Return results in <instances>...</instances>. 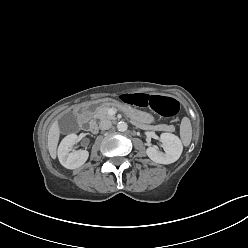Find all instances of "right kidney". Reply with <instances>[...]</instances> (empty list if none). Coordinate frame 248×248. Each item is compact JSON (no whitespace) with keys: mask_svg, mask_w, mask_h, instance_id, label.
<instances>
[{"mask_svg":"<svg viewBox=\"0 0 248 248\" xmlns=\"http://www.w3.org/2000/svg\"><path fill=\"white\" fill-rule=\"evenodd\" d=\"M79 141L76 134L67 135L58 148V158L62 166L67 169H76L82 166L89 157L86 150L71 151L72 147Z\"/></svg>","mask_w":248,"mask_h":248,"instance_id":"right-kidney-1","label":"right kidney"}]
</instances>
